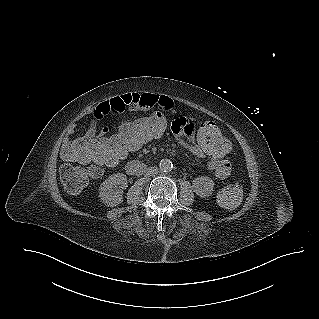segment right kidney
Here are the masks:
<instances>
[{"instance_id": "ca27d5eb", "label": "right kidney", "mask_w": 319, "mask_h": 319, "mask_svg": "<svg viewBox=\"0 0 319 319\" xmlns=\"http://www.w3.org/2000/svg\"><path fill=\"white\" fill-rule=\"evenodd\" d=\"M127 187V177L122 173L109 176L99 187V197L106 206L114 207L123 202V190Z\"/></svg>"}]
</instances>
